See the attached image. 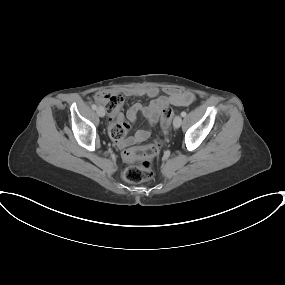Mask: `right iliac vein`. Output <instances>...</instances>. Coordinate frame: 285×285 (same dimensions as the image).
Instances as JSON below:
<instances>
[{
	"label": "right iliac vein",
	"instance_id": "obj_1",
	"mask_svg": "<svg viewBox=\"0 0 285 285\" xmlns=\"http://www.w3.org/2000/svg\"><path fill=\"white\" fill-rule=\"evenodd\" d=\"M98 116L100 117H104L105 116V110L103 107H98L97 110H96Z\"/></svg>",
	"mask_w": 285,
	"mask_h": 285
}]
</instances>
